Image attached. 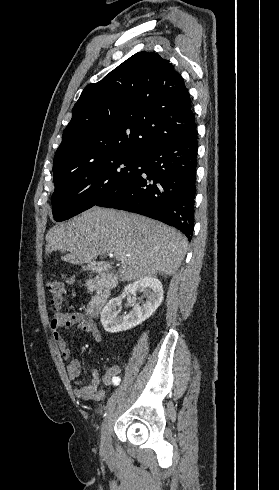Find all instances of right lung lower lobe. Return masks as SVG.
Here are the masks:
<instances>
[{
    "label": "right lung lower lobe",
    "mask_w": 279,
    "mask_h": 490,
    "mask_svg": "<svg viewBox=\"0 0 279 490\" xmlns=\"http://www.w3.org/2000/svg\"><path fill=\"white\" fill-rule=\"evenodd\" d=\"M197 130L142 157V173L97 204L139 213L180 230H194Z\"/></svg>",
    "instance_id": "98d812e1"
}]
</instances>
